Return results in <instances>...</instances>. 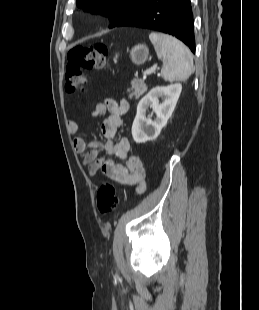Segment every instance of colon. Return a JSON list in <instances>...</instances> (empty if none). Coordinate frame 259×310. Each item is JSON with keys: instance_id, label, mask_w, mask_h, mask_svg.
<instances>
[{"instance_id": "1", "label": "colon", "mask_w": 259, "mask_h": 310, "mask_svg": "<svg viewBox=\"0 0 259 310\" xmlns=\"http://www.w3.org/2000/svg\"><path fill=\"white\" fill-rule=\"evenodd\" d=\"M108 48L102 43L73 48L68 53L66 68V88L69 92L84 89L86 78L84 71L99 70L105 67ZM119 201L117 189L109 182H105L97 192L96 205L101 214L110 213Z\"/></svg>"}]
</instances>
